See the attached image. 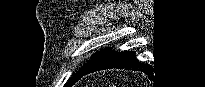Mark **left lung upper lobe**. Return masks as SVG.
<instances>
[{"mask_svg":"<svg viewBox=\"0 0 205 87\" xmlns=\"http://www.w3.org/2000/svg\"><path fill=\"white\" fill-rule=\"evenodd\" d=\"M96 54H97V53H95V54L92 56V60H91L88 64H86L84 67H82V68L64 85V87H71L72 85H74V84L78 81L80 74L91 64V62L94 60Z\"/></svg>","mask_w":205,"mask_h":87,"instance_id":"1","label":"left lung upper lobe"}]
</instances>
